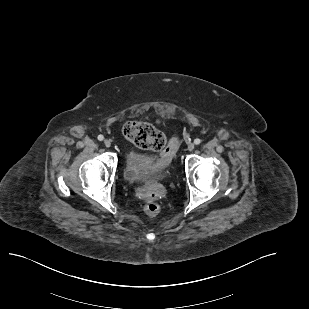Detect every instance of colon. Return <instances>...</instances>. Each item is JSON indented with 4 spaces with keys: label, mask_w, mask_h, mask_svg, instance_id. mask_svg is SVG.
I'll return each instance as SVG.
<instances>
[{
    "label": "colon",
    "mask_w": 309,
    "mask_h": 309,
    "mask_svg": "<svg viewBox=\"0 0 309 309\" xmlns=\"http://www.w3.org/2000/svg\"><path fill=\"white\" fill-rule=\"evenodd\" d=\"M123 133L137 147L161 152L165 160L170 157L177 143V141H174L167 145L166 139L160 131L156 130L152 125L140 121L126 123ZM144 211L147 215L154 217L160 212V206L158 203L150 201L145 204Z\"/></svg>",
    "instance_id": "obj_1"
}]
</instances>
